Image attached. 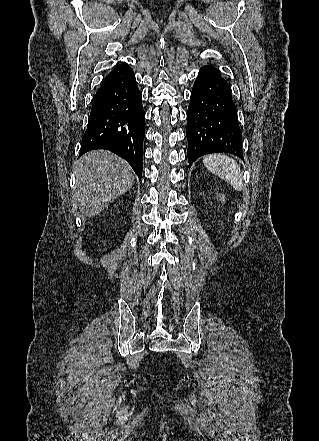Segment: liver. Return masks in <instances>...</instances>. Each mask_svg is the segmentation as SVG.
I'll return each instance as SVG.
<instances>
[{
    "label": "liver",
    "mask_w": 319,
    "mask_h": 441,
    "mask_svg": "<svg viewBox=\"0 0 319 441\" xmlns=\"http://www.w3.org/2000/svg\"><path fill=\"white\" fill-rule=\"evenodd\" d=\"M73 202L81 214L92 217L126 193L134 182V172L122 158L104 150L83 155L75 168Z\"/></svg>",
    "instance_id": "1"
}]
</instances>
